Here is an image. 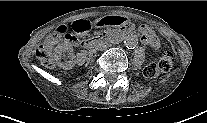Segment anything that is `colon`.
<instances>
[{
    "instance_id": "1",
    "label": "colon",
    "mask_w": 207,
    "mask_h": 123,
    "mask_svg": "<svg viewBox=\"0 0 207 123\" xmlns=\"http://www.w3.org/2000/svg\"><path fill=\"white\" fill-rule=\"evenodd\" d=\"M64 40L69 43L75 41L74 36L69 32L67 26H60L56 33L42 43L36 50L38 59L47 67H53L54 62L51 54L53 46L59 41ZM174 63V55L171 52H166L158 62L150 63L144 68L146 78L153 79L162 73L168 72Z\"/></svg>"
}]
</instances>
